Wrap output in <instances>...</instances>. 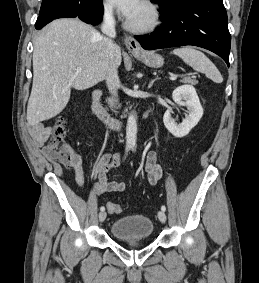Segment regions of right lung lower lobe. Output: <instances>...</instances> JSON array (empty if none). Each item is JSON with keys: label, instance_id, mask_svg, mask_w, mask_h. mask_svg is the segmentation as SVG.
Instances as JSON below:
<instances>
[{"label": "right lung lower lobe", "instance_id": "1", "mask_svg": "<svg viewBox=\"0 0 259 283\" xmlns=\"http://www.w3.org/2000/svg\"><path fill=\"white\" fill-rule=\"evenodd\" d=\"M103 14L102 0H43L35 28L41 29L57 18L79 17L88 24H98Z\"/></svg>", "mask_w": 259, "mask_h": 283}]
</instances>
